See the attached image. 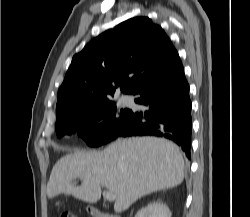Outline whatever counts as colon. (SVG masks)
<instances>
[{
	"mask_svg": "<svg viewBox=\"0 0 250 217\" xmlns=\"http://www.w3.org/2000/svg\"><path fill=\"white\" fill-rule=\"evenodd\" d=\"M60 217H77L75 213L70 211H64L61 213Z\"/></svg>",
	"mask_w": 250,
	"mask_h": 217,
	"instance_id": "colon-1",
	"label": "colon"
}]
</instances>
